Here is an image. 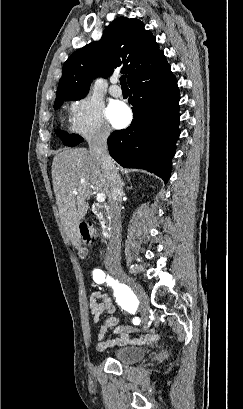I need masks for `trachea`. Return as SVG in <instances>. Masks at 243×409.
<instances>
[{"label":"trachea","mask_w":243,"mask_h":409,"mask_svg":"<svg viewBox=\"0 0 243 409\" xmlns=\"http://www.w3.org/2000/svg\"><path fill=\"white\" fill-rule=\"evenodd\" d=\"M120 84H121L122 87H127V82H126V77H125V75H122V76L120 77Z\"/></svg>","instance_id":"1"}]
</instances>
